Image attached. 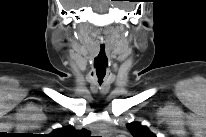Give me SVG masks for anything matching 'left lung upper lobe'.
Listing matches in <instances>:
<instances>
[{
  "label": "left lung upper lobe",
  "instance_id": "1",
  "mask_svg": "<svg viewBox=\"0 0 206 137\" xmlns=\"http://www.w3.org/2000/svg\"><path fill=\"white\" fill-rule=\"evenodd\" d=\"M127 128L134 137H156L146 126L138 122L129 123Z\"/></svg>",
  "mask_w": 206,
  "mask_h": 137
}]
</instances>
